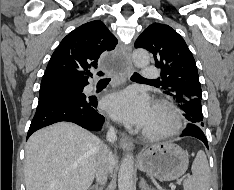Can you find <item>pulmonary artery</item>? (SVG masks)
I'll return each mask as SVG.
<instances>
[{"label": "pulmonary artery", "instance_id": "1", "mask_svg": "<svg viewBox=\"0 0 234 190\" xmlns=\"http://www.w3.org/2000/svg\"><path fill=\"white\" fill-rule=\"evenodd\" d=\"M143 74L145 79L156 78L158 76V70L155 66L143 67Z\"/></svg>", "mask_w": 234, "mask_h": 190}]
</instances>
